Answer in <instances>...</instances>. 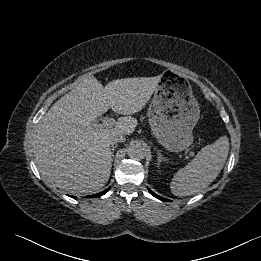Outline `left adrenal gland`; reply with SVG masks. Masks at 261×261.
Instances as JSON below:
<instances>
[{
    "instance_id": "1",
    "label": "left adrenal gland",
    "mask_w": 261,
    "mask_h": 261,
    "mask_svg": "<svg viewBox=\"0 0 261 261\" xmlns=\"http://www.w3.org/2000/svg\"><path fill=\"white\" fill-rule=\"evenodd\" d=\"M157 154H158V157H157L158 158L157 159L158 160V166H160L161 162L167 161V159L162 156V153H161L160 150L157 151Z\"/></svg>"
}]
</instances>
